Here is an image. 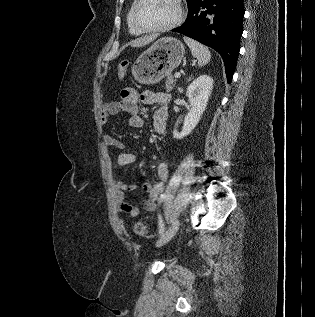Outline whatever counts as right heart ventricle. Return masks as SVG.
<instances>
[{"label": "right heart ventricle", "mask_w": 315, "mask_h": 317, "mask_svg": "<svg viewBox=\"0 0 315 317\" xmlns=\"http://www.w3.org/2000/svg\"><path fill=\"white\" fill-rule=\"evenodd\" d=\"M134 4V3H133ZM133 4L127 14V25H128V29H129V32L133 35H139L141 32H139L138 30L135 29V27L133 26L132 22H131V12H132V7H133Z\"/></svg>", "instance_id": "1"}]
</instances>
